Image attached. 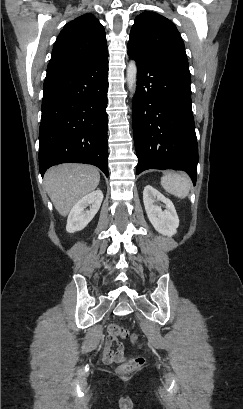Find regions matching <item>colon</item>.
<instances>
[{
    "mask_svg": "<svg viewBox=\"0 0 243 409\" xmlns=\"http://www.w3.org/2000/svg\"><path fill=\"white\" fill-rule=\"evenodd\" d=\"M109 331L123 339H127L130 335L127 329L122 328L120 326L117 325H111L109 327ZM132 341H135L136 336H132L131 337ZM144 363V358L142 356H134L129 358L127 361H125L124 363H122L119 368L118 371L121 374H126V373H130L136 369H138L140 366H142Z\"/></svg>",
    "mask_w": 243,
    "mask_h": 409,
    "instance_id": "colon-1",
    "label": "colon"
}]
</instances>
